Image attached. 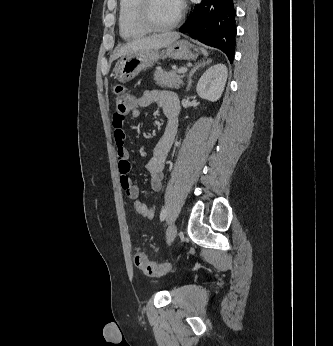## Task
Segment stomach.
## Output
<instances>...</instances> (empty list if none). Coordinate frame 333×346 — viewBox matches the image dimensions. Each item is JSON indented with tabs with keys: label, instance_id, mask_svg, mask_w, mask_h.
<instances>
[{
	"label": "stomach",
	"instance_id": "obj_1",
	"mask_svg": "<svg viewBox=\"0 0 333 346\" xmlns=\"http://www.w3.org/2000/svg\"><path fill=\"white\" fill-rule=\"evenodd\" d=\"M198 55V47L187 40H178L162 51L152 49L123 56L115 64L114 76L119 82L126 83L134 79L141 71L151 67L161 57L189 60L197 58Z\"/></svg>",
	"mask_w": 333,
	"mask_h": 346
}]
</instances>
